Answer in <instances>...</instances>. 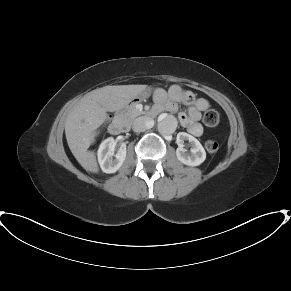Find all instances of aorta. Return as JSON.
Listing matches in <instances>:
<instances>
[{
  "label": "aorta",
  "instance_id": "obj_1",
  "mask_svg": "<svg viewBox=\"0 0 291 291\" xmlns=\"http://www.w3.org/2000/svg\"><path fill=\"white\" fill-rule=\"evenodd\" d=\"M177 128V120L172 115H161L158 119L157 129L163 135L174 133Z\"/></svg>",
  "mask_w": 291,
  "mask_h": 291
}]
</instances>
